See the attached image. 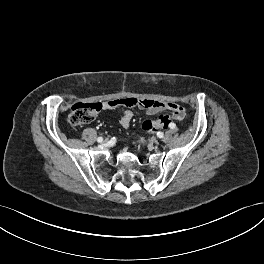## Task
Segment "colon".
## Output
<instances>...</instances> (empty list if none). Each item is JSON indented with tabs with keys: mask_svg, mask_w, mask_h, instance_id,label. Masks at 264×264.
Returning a JSON list of instances; mask_svg holds the SVG:
<instances>
[{
	"mask_svg": "<svg viewBox=\"0 0 264 264\" xmlns=\"http://www.w3.org/2000/svg\"><path fill=\"white\" fill-rule=\"evenodd\" d=\"M134 100L132 98H118L104 103H75L69 113V122L72 125L80 126L91 122L96 114L105 106H133ZM180 121V120H178ZM171 122V119L166 114L159 115L156 119L146 120L142 124V128L147 133H155L161 129H166Z\"/></svg>",
	"mask_w": 264,
	"mask_h": 264,
	"instance_id": "1",
	"label": "colon"
}]
</instances>
